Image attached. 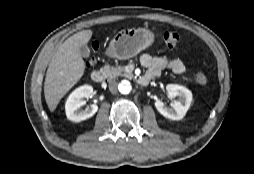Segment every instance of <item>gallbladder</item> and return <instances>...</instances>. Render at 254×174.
<instances>
[{
  "label": "gallbladder",
  "instance_id": "bac80fb5",
  "mask_svg": "<svg viewBox=\"0 0 254 174\" xmlns=\"http://www.w3.org/2000/svg\"><path fill=\"white\" fill-rule=\"evenodd\" d=\"M80 54L82 57H88L90 55V48L87 45L81 46Z\"/></svg>",
  "mask_w": 254,
  "mask_h": 174
}]
</instances>
